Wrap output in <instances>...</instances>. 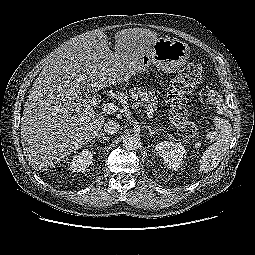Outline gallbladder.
Returning <instances> with one entry per match:
<instances>
[{
    "mask_svg": "<svg viewBox=\"0 0 255 255\" xmlns=\"http://www.w3.org/2000/svg\"><path fill=\"white\" fill-rule=\"evenodd\" d=\"M84 93L89 97V99L91 100L92 96H91V91L89 88L87 87H83Z\"/></svg>",
    "mask_w": 255,
    "mask_h": 255,
    "instance_id": "obj_1",
    "label": "gallbladder"
}]
</instances>
